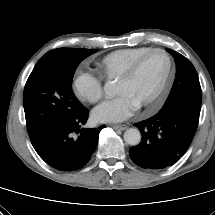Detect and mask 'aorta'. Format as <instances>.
Segmentation results:
<instances>
[{"label": "aorta", "mask_w": 215, "mask_h": 215, "mask_svg": "<svg viewBox=\"0 0 215 215\" xmlns=\"http://www.w3.org/2000/svg\"><path fill=\"white\" fill-rule=\"evenodd\" d=\"M104 92L106 96L112 97L114 95L115 89L111 81H107L104 85ZM124 141L131 145L136 146L141 141V133L136 128H129L124 132Z\"/></svg>", "instance_id": "aorta-1"}]
</instances>
